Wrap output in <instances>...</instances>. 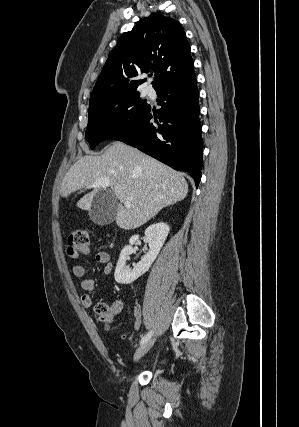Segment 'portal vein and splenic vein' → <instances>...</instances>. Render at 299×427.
Wrapping results in <instances>:
<instances>
[{"instance_id":"portal-vein-and-splenic-vein-1","label":"portal vein and splenic vein","mask_w":299,"mask_h":427,"mask_svg":"<svg viewBox=\"0 0 299 427\" xmlns=\"http://www.w3.org/2000/svg\"><path fill=\"white\" fill-rule=\"evenodd\" d=\"M93 186H110V182L108 179H100ZM125 207H130L131 203L129 201H124Z\"/></svg>"}]
</instances>
